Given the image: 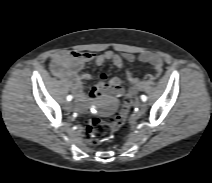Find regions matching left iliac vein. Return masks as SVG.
I'll use <instances>...</instances> for the list:
<instances>
[{
  "label": "left iliac vein",
  "instance_id": "left-iliac-vein-1",
  "mask_svg": "<svg viewBox=\"0 0 212 183\" xmlns=\"http://www.w3.org/2000/svg\"><path fill=\"white\" fill-rule=\"evenodd\" d=\"M140 109H141L142 111H145V110L147 109V103H146V102H142V103L140 104Z\"/></svg>",
  "mask_w": 212,
  "mask_h": 183
}]
</instances>
